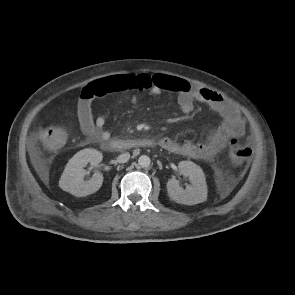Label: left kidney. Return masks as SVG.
Segmentation results:
<instances>
[{
  "label": "left kidney",
  "mask_w": 295,
  "mask_h": 295,
  "mask_svg": "<svg viewBox=\"0 0 295 295\" xmlns=\"http://www.w3.org/2000/svg\"><path fill=\"white\" fill-rule=\"evenodd\" d=\"M182 175L188 177L192 185L183 189L179 181L172 178L167 182V192L169 197L180 204L195 205L207 199V185L205 175L201 167L191 161H181L178 165Z\"/></svg>",
  "instance_id": "obj_1"
}]
</instances>
